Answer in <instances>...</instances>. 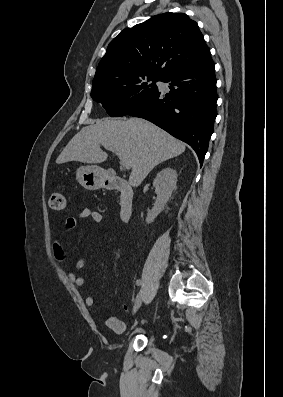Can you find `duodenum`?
Segmentation results:
<instances>
[{
    "label": "duodenum",
    "instance_id": "duodenum-1",
    "mask_svg": "<svg viewBox=\"0 0 283 397\" xmlns=\"http://www.w3.org/2000/svg\"><path fill=\"white\" fill-rule=\"evenodd\" d=\"M105 186L109 190L119 192L120 218L122 221L127 222L131 218L133 213L134 193L131 186L128 184L127 181L118 176H112L108 178Z\"/></svg>",
    "mask_w": 283,
    "mask_h": 397
}]
</instances>
